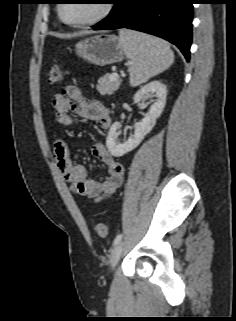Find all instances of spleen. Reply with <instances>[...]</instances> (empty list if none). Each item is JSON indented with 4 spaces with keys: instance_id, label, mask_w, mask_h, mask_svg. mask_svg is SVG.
<instances>
[{
    "instance_id": "spleen-1",
    "label": "spleen",
    "mask_w": 236,
    "mask_h": 321,
    "mask_svg": "<svg viewBox=\"0 0 236 321\" xmlns=\"http://www.w3.org/2000/svg\"><path fill=\"white\" fill-rule=\"evenodd\" d=\"M119 41L130 59V85L136 87L169 68L174 61L170 45L157 37L121 29Z\"/></svg>"
}]
</instances>
